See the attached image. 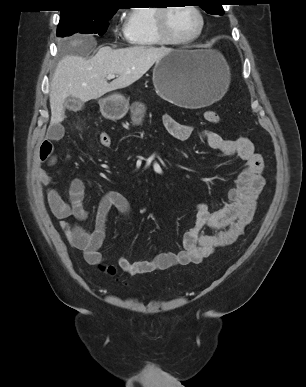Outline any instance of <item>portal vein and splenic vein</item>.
Returning a JSON list of instances; mask_svg holds the SVG:
<instances>
[{"label":"portal vein and splenic vein","mask_w":306,"mask_h":387,"mask_svg":"<svg viewBox=\"0 0 306 387\" xmlns=\"http://www.w3.org/2000/svg\"><path fill=\"white\" fill-rule=\"evenodd\" d=\"M107 78H108V79H113V78H115V75H114V74H109V75L107 76Z\"/></svg>","instance_id":"1"}]
</instances>
